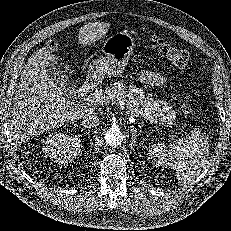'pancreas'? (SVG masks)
Masks as SVG:
<instances>
[{"label": "pancreas", "instance_id": "1", "mask_svg": "<svg viewBox=\"0 0 231 231\" xmlns=\"http://www.w3.org/2000/svg\"><path fill=\"white\" fill-rule=\"evenodd\" d=\"M104 97L105 102L116 104L120 100L125 103L126 110L131 116L141 117L148 115L158 118L160 121L171 125L176 112L165 100L154 99L145 96L144 91L137 86H127L123 82H115L107 86L104 90L100 89L97 93Z\"/></svg>", "mask_w": 231, "mask_h": 231}]
</instances>
